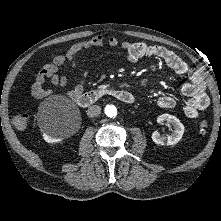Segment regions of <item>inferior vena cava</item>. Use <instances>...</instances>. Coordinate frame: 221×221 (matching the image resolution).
<instances>
[{"instance_id": "1", "label": "inferior vena cava", "mask_w": 221, "mask_h": 221, "mask_svg": "<svg viewBox=\"0 0 221 221\" xmlns=\"http://www.w3.org/2000/svg\"><path fill=\"white\" fill-rule=\"evenodd\" d=\"M101 113V107L98 105H92L87 110V115L91 118L98 116Z\"/></svg>"}]
</instances>
